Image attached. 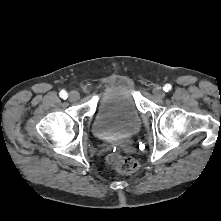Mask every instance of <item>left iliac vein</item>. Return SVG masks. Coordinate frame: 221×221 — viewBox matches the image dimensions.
Returning a JSON list of instances; mask_svg holds the SVG:
<instances>
[{"label":"left iliac vein","instance_id":"1","mask_svg":"<svg viewBox=\"0 0 221 221\" xmlns=\"http://www.w3.org/2000/svg\"><path fill=\"white\" fill-rule=\"evenodd\" d=\"M153 94L156 98H163L165 96V93L162 89V87L160 86H155L154 89H153Z\"/></svg>","mask_w":221,"mask_h":221}]
</instances>
